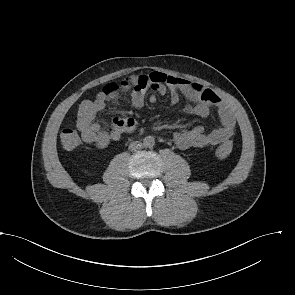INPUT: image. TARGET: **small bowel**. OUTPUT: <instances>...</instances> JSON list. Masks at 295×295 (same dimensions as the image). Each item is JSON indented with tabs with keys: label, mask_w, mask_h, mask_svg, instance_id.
<instances>
[{
	"label": "small bowel",
	"mask_w": 295,
	"mask_h": 295,
	"mask_svg": "<svg viewBox=\"0 0 295 295\" xmlns=\"http://www.w3.org/2000/svg\"><path fill=\"white\" fill-rule=\"evenodd\" d=\"M126 91L131 92V104L134 108H141L144 105L148 91L153 92L149 98L151 103L156 102V94L164 95L168 91L171 105L178 103L180 94L186 98L188 104L185 109L188 113L208 116L213 109L217 110L221 125L212 131L206 132L204 127L199 125L173 134L175 145L182 150L216 146L230 139L234 133L233 113L213 90L183 78L152 72L128 77L116 90L111 92L103 90L93 100L81 102L76 125L85 143L104 148L111 141H118L123 134L136 129V121L129 117L112 119L108 130L102 129L95 119L96 114L105 108L107 102L117 101L120 93Z\"/></svg>",
	"instance_id": "1"
}]
</instances>
